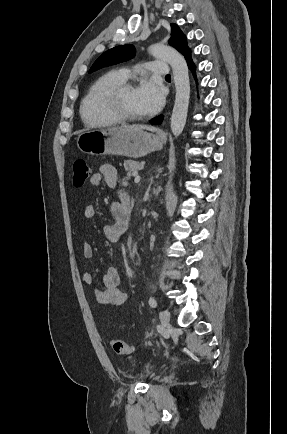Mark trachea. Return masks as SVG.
Masks as SVG:
<instances>
[{"mask_svg": "<svg viewBox=\"0 0 287 434\" xmlns=\"http://www.w3.org/2000/svg\"><path fill=\"white\" fill-rule=\"evenodd\" d=\"M165 77H166V78H171V76H170V75H166Z\"/></svg>", "mask_w": 287, "mask_h": 434, "instance_id": "1", "label": "trachea"}]
</instances>
